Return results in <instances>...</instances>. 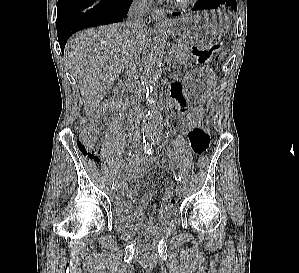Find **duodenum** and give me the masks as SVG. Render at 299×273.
Listing matches in <instances>:
<instances>
[{"label":"duodenum","mask_w":299,"mask_h":273,"mask_svg":"<svg viewBox=\"0 0 299 273\" xmlns=\"http://www.w3.org/2000/svg\"><path fill=\"white\" fill-rule=\"evenodd\" d=\"M168 106H171V102H170V99H169V101H168Z\"/></svg>","instance_id":"410a0bca"}]
</instances>
